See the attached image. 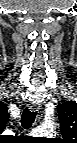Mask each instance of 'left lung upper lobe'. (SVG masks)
<instances>
[{"mask_svg":"<svg viewBox=\"0 0 77 143\" xmlns=\"http://www.w3.org/2000/svg\"><path fill=\"white\" fill-rule=\"evenodd\" d=\"M60 119V129L66 143L77 138V104L65 102L57 106Z\"/></svg>","mask_w":77,"mask_h":143,"instance_id":"5c2ea615","label":"left lung upper lobe"}]
</instances>
